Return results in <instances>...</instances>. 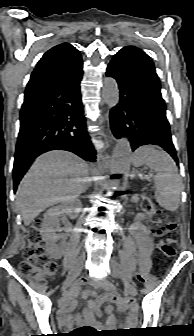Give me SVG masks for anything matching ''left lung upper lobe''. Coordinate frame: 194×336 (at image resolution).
<instances>
[{
    "instance_id": "5c2ea615",
    "label": "left lung upper lobe",
    "mask_w": 194,
    "mask_h": 336,
    "mask_svg": "<svg viewBox=\"0 0 194 336\" xmlns=\"http://www.w3.org/2000/svg\"><path fill=\"white\" fill-rule=\"evenodd\" d=\"M126 48H132V49L138 51L139 53H141V55L144 57V60L146 61L147 65L155 72L154 64H153L152 60L150 59V57L146 53H144L142 50H140L136 47H133V46H128Z\"/></svg>"
}]
</instances>
